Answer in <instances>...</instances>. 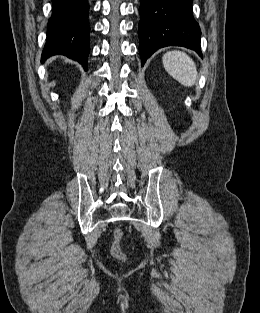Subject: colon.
I'll return each mask as SVG.
<instances>
[{"label":"colon","mask_w":260,"mask_h":313,"mask_svg":"<svg viewBox=\"0 0 260 313\" xmlns=\"http://www.w3.org/2000/svg\"><path fill=\"white\" fill-rule=\"evenodd\" d=\"M123 238V231L121 229H115L113 231V242L111 244V254L114 258L120 261H125L127 256L121 247V240Z\"/></svg>","instance_id":"colon-1"}]
</instances>
